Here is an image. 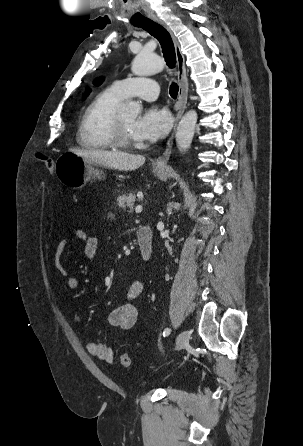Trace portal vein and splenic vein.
I'll return each instance as SVG.
<instances>
[{
	"label": "portal vein and splenic vein",
	"instance_id": "obj_1",
	"mask_svg": "<svg viewBox=\"0 0 303 446\" xmlns=\"http://www.w3.org/2000/svg\"><path fill=\"white\" fill-rule=\"evenodd\" d=\"M136 213H141L142 212V205H137L135 208Z\"/></svg>",
	"mask_w": 303,
	"mask_h": 446
}]
</instances>
